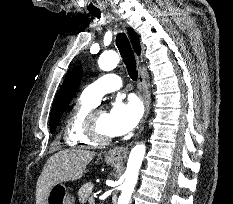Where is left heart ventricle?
Returning a JSON list of instances; mask_svg holds the SVG:
<instances>
[{
  "instance_id": "1",
  "label": "left heart ventricle",
  "mask_w": 233,
  "mask_h": 204,
  "mask_svg": "<svg viewBox=\"0 0 233 204\" xmlns=\"http://www.w3.org/2000/svg\"><path fill=\"white\" fill-rule=\"evenodd\" d=\"M97 125L99 130L105 134V135H110L111 130H110V117L109 113L105 110H101L98 115H97Z\"/></svg>"
}]
</instances>
